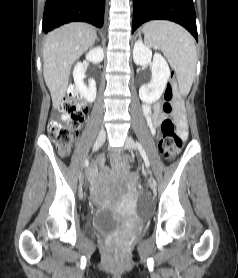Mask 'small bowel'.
<instances>
[{"mask_svg":"<svg viewBox=\"0 0 238 278\" xmlns=\"http://www.w3.org/2000/svg\"><path fill=\"white\" fill-rule=\"evenodd\" d=\"M162 102H157L153 108L149 104L143 105V114L147 121L150 131L154 134L157 132L158 127L165 118V113L162 109ZM176 110L174 113V120L178 127L179 135L185 139L187 137L186 121L182 110V105L180 100L175 102ZM67 116H63V119H67Z\"/></svg>","mask_w":238,"mask_h":278,"instance_id":"1","label":"small bowel"}]
</instances>
